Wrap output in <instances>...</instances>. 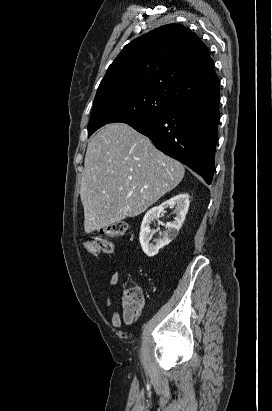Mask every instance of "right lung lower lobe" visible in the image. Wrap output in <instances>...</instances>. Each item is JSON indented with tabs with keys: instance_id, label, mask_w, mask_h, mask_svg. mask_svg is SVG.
Masks as SVG:
<instances>
[{
	"instance_id": "right-lung-lower-lobe-1",
	"label": "right lung lower lobe",
	"mask_w": 272,
	"mask_h": 411,
	"mask_svg": "<svg viewBox=\"0 0 272 411\" xmlns=\"http://www.w3.org/2000/svg\"><path fill=\"white\" fill-rule=\"evenodd\" d=\"M219 100L218 87L129 125L151 139L160 151L187 165L210 184L218 139Z\"/></svg>"
}]
</instances>
